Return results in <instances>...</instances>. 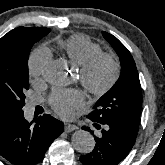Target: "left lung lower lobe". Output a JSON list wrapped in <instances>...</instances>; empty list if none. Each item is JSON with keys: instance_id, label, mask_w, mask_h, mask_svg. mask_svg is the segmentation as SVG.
<instances>
[{"instance_id": "obj_1", "label": "left lung lower lobe", "mask_w": 165, "mask_h": 165, "mask_svg": "<svg viewBox=\"0 0 165 165\" xmlns=\"http://www.w3.org/2000/svg\"><path fill=\"white\" fill-rule=\"evenodd\" d=\"M93 122L95 128L101 129V132L99 136L94 135L96 145L93 151L81 156L80 161L83 165H117L132 149L137 131L109 122ZM83 129L93 134L88 127Z\"/></svg>"}]
</instances>
